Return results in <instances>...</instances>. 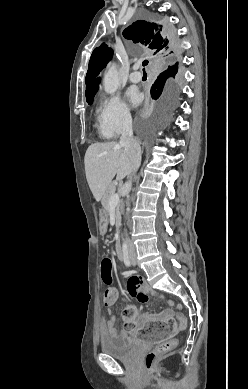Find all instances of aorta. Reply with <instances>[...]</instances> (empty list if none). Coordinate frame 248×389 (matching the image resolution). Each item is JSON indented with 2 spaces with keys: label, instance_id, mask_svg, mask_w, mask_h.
Listing matches in <instances>:
<instances>
[{
  "label": "aorta",
  "instance_id": "1",
  "mask_svg": "<svg viewBox=\"0 0 248 389\" xmlns=\"http://www.w3.org/2000/svg\"><path fill=\"white\" fill-rule=\"evenodd\" d=\"M120 86V80L115 65L109 67L103 78L104 91L108 94H114Z\"/></svg>",
  "mask_w": 248,
  "mask_h": 389
}]
</instances>
